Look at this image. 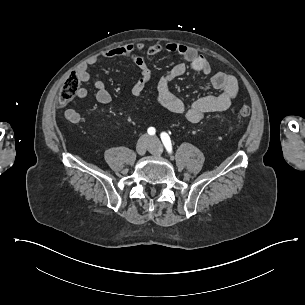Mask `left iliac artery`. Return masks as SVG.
<instances>
[{
    "label": "left iliac artery",
    "instance_id": "44dca946",
    "mask_svg": "<svg viewBox=\"0 0 305 305\" xmlns=\"http://www.w3.org/2000/svg\"><path fill=\"white\" fill-rule=\"evenodd\" d=\"M161 140L165 146V148L167 149L168 152H171L172 150V146H171V140L170 137L168 136L167 133H161Z\"/></svg>",
    "mask_w": 305,
    "mask_h": 305
}]
</instances>
